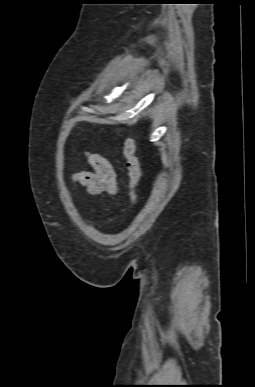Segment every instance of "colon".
Here are the masks:
<instances>
[{
	"instance_id": "colon-1",
	"label": "colon",
	"mask_w": 255,
	"mask_h": 387,
	"mask_svg": "<svg viewBox=\"0 0 255 387\" xmlns=\"http://www.w3.org/2000/svg\"><path fill=\"white\" fill-rule=\"evenodd\" d=\"M136 148V142L133 138L128 137L125 139L123 153L129 178V199L132 203L136 201V187L141 178V167L136 154Z\"/></svg>"
}]
</instances>
